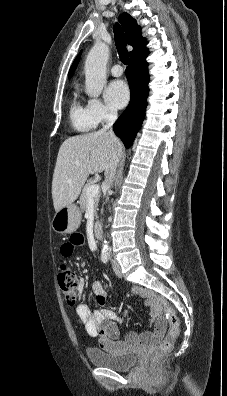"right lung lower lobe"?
Instances as JSON below:
<instances>
[{"label":"right lung lower lobe","instance_id":"98d812e1","mask_svg":"<svg viewBox=\"0 0 227 396\" xmlns=\"http://www.w3.org/2000/svg\"><path fill=\"white\" fill-rule=\"evenodd\" d=\"M148 54L146 46L134 53L130 57L129 66L125 71L131 98L129 105L113 125V130L126 148L132 145L145 117L149 93L148 63L146 62Z\"/></svg>","mask_w":227,"mask_h":396}]
</instances>
